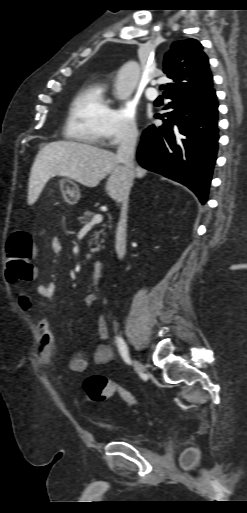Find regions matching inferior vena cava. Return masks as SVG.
Wrapping results in <instances>:
<instances>
[{"label":"inferior vena cava","mask_w":247,"mask_h":513,"mask_svg":"<svg viewBox=\"0 0 247 513\" xmlns=\"http://www.w3.org/2000/svg\"><path fill=\"white\" fill-rule=\"evenodd\" d=\"M137 130L136 128L129 127L124 130L120 144L117 149V159L124 165V169L128 175L134 174V151L137 142ZM128 195L129 191L122 193V195L118 198V201L121 202V213L120 220L118 224V230L116 235V253L118 258L122 259L126 252V219H127V210H128Z\"/></svg>","instance_id":"obj_1"}]
</instances>
